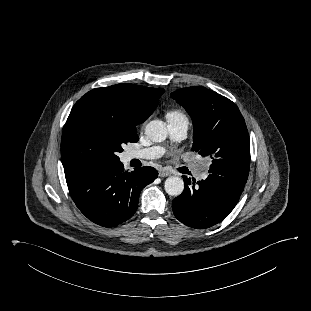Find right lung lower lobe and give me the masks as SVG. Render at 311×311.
<instances>
[{"instance_id":"1","label":"right lung lower lobe","mask_w":311,"mask_h":311,"mask_svg":"<svg viewBox=\"0 0 311 311\" xmlns=\"http://www.w3.org/2000/svg\"><path fill=\"white\" fill-rule=\"evenodd\" d=\"M70 195L79 210L102 227H115L133 216L143 187L158 172L153 167L124 171L123 164L64 167Z\"/></svg>"}]
</instances>
